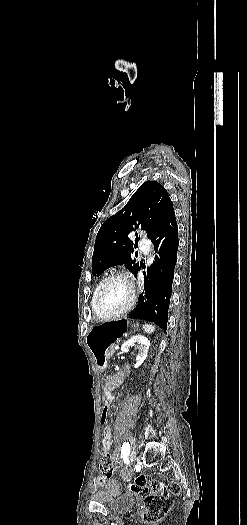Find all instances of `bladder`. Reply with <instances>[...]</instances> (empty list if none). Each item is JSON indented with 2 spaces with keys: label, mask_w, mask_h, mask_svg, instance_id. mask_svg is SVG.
I'll return each instance as SVG.
<instances>
[{
  "label": "bladder",
  "mask_w": 247,
  "mask_h": 525,
  "mask_svg": "<svg viewBox=\"0 0 247 525\" xmlns=\"http://www.w3.org/2000/svg\"><path fill=\"white\" fill-rule=\"evenodd\" d=\"M105 508L112 514L126 513L132 508L138 506L137 497L120 493L116 496L107 495L105 499Z\"/></svg>",
  "instance_id": "31cf9c89"
}]
</instances>
